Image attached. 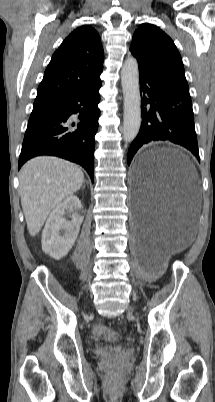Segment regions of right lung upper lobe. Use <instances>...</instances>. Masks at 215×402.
Instances as JSON below:
<instances>
[{
  "instance_id": "cb5924a9",
  "label": "right lung upper lobe",
  "mask_w": 215,
  "mask_h": 402,
  "mask_svg": "<svg viewBox=\"0 0 215 402\" xmlns=\"http://www.w3.org/2000/svg\"><path fill=\"white\" fill-rule=\"evenodd\" d=\"M103 60L96 30L87 25L75 29L53 54L34 103H56L93 83L102 73Z\"/></svg>"
}]
</instances>
